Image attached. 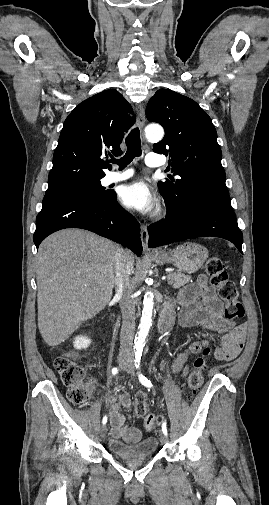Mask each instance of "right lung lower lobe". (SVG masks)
<instances>
[{
	"label": "right lung lower lobe",
	"mask_w": 269,
	"mask_h": 505,
	"mask_svg": "<svg viewBox=\"0 0 269 505\" xmlns=\"http://www.w3.org/2000/svg\"><path fill=\"white\" fill-rule=\"evenodd\" d=\"M111 193L102 200L75 193L44 197L33 236L36 247L55 231L81 228L118 242L140 256L139 223L118 204L116 193Z\"/></svg>",
	"instance_id": "98d812e1"
}]
</instances>
